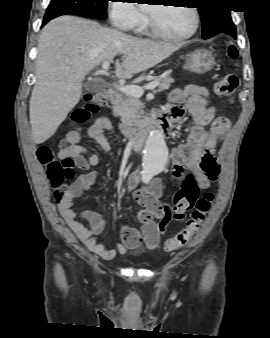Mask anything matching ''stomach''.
Segmentation results:
<instances>
[{
	"label": "stomach",
	"instance_id": "obj_1",
	"mask_svg": "<svg viewBox=\"0 0 270 338\" xmlns=\"http://www.w3.org/2000/svg\"><path fill=\"white\" fill-rule=\"evenodd\" d=\"M214 64V56L210 51L198 49L186 58L184 69L193 73L204 74L209 72Z\"/></svg>",
	"mask_w": 270,
	"mask_h": 338
}]
</instances>
